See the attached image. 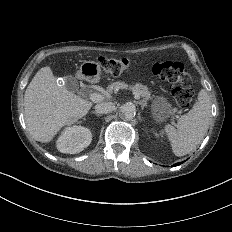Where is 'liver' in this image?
<instances>
[{
    "label": "liver",
    "mask_w": 232,
    "mask_h": 232,
    "mask_svg": "<svg viewBox=\"0 0 232 232\" xmlns=\"http://www.w3.org/2000/svg\"><path fill=\"white\" fill-rule=\"evenodd\" d=\"M93 103L58 85L51 66L41 67L24 94L25 121L31 136L50 143L61 130L88 114Z\"/></svg>",
    "instance_id": "6515ba94"
}]
</instances>
